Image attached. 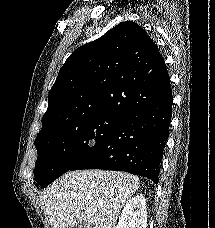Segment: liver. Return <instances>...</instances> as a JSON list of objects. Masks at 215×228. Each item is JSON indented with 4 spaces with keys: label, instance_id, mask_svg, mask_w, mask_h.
Wrapping results in <instances>:
<instances>
[{
    "label": "liver",
    "instance_id": "obj_1",
    "mask_svg": "<svg viewBox=\"0 0 215 228\" xmlns=\"http://www.w3.org/2000/svg\"><path fill=\"white\" fill-rule=\"evenodd\" d=\"M140 188L126 172H67L43 190L40 200L52 228H115L119 212Z\"/></svg>",
    "mask_w": 215,
    "mask_h": 228
}]
</instances>
